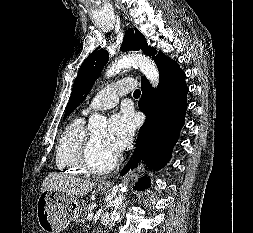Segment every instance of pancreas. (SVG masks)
<instances>
[{
  "label": "pancreas",
  "instance_id": "cf45deb5",
  "mask_svg": "<svg viewBox=\"0 0 253 233\" xmlns=\"http://www.w3.org/2000/svg\"><path fill=\"white\" fill-rule=\"evenodd\" d=\"M91 212L89 205L87 204H82L80 207V212L74 217V221L79 224V223H86V216Z\"/></svg>",
  "mask_w": 253,
  "mask_h": 233
}]
</instances>
